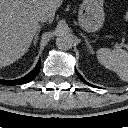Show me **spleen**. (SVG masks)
I'll use <instances>...</instances> for the list:
<instances>
[{
    "label": "spleen",
    "mask_w": 128,
    "mask_h": 128,
    "mask_svg": "<svg viewBox=\"0 0 128 128\" xmlns=\"http://www.w3.org/2000/svg\"><path fill=\"white\" fill-rule=\"evenodd\" d=\"M128 50V48H127ZM122 49L101 48L96 52L97 59L104 67L118 74L121 80L128 82V51Z\"/></svg>",
    "instance_id": "spleen-1"
}]
</instances>
